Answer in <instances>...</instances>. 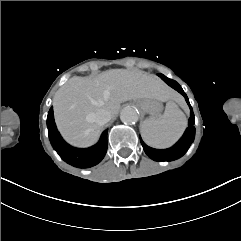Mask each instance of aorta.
Returning <instances> with one entry per match:
<instances>
[{
    "label": "aorta",
    "mask_w": 241,
    "mask_h": 241,
    "mask_svg": "<svg viewBox=\"0 0 241 241\" xmlns=\"http://www.w3.org/2000/svg\"><path fill=\"white\" fill-rule=\"evenodd\" d=\"M120 119L124 124H135L139 116L133 107L128 106L121 110Z\"/></svg>",
    "instance_id": "obj_1"
}]
</instances>
